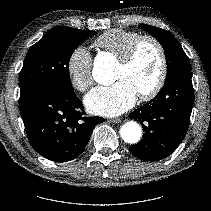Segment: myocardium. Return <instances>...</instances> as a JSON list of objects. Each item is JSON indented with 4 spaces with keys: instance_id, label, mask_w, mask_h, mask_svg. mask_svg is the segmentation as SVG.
I'll use <instances>...</instances> for the list:
<instances>
[{
    "instance_id": "myocardium-1",
    "label": "myocardium",
    "mask_w": 211,
    "mask_h": 211,
    "mask_svg": "<svg viewBox=\"0 0 211 211\" xmlns=\"http://www.w3.org/2000/svg\"><path fill=\"white\" fill-rule=\"evenodd\" d=\"M151 42L158 50L160 58V72L153 87L147 92L139 94V99L142 101H149L155 98L162 90L168 73L166 51L161 41L153 35H141L138 37L127 49L124 55L119 58L118 64L124 68L130 66L134 61L140 46L144 42Z\"/></svg>"
}]
</instances>
